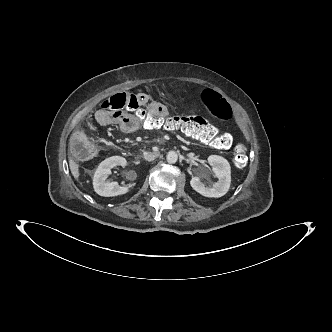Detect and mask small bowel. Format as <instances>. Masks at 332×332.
<instances>
[{
	"label": "small bowel",
	"mask_w": 332,
	"mask_h": 332,
	"mask_svg": "<svg viewBox=\"0 0 332 332\" xmlns=\"http://www.w3.org/2000/svg\"><path fill=\"white\" fill-rule=\"evenodd\" d=\"M138 104L155 117L166 119L170 115L169 108L163 103L152 101L148 94H137ZM95 118L103 125L111 124L119 126L125 133H137L140 131L141 122L137 115L129 110H117L113 112L110 109H99L95 113Z\"/></svg>",
	"instance_id": "small-bowel-1"
}]
</instances>
